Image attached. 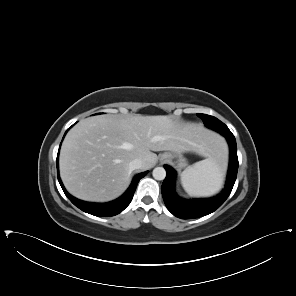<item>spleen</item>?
<instances>
[{"instance_id": "obj_1", "label": "spleen", "mask_w": 296, "mask_h": 296, "mask_svg": "<svg viewBox=\"0 0 296 296\" xmlns=\"http://www.w3.org/2000/svg\"><path fill=\"white\" fill-rule=\"evenodd\" d=\"M226 167L227 156L223 143V146H218L215 154L188 166L181 173L182 187L193 197L212 196L222 188Z\"/></svg>"}]
</instances>
